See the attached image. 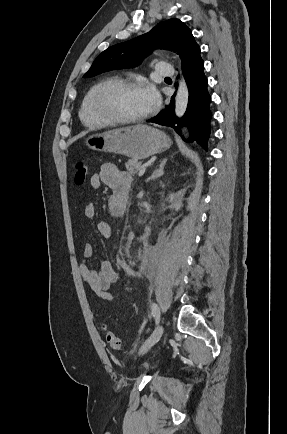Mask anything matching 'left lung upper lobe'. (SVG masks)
<instances>
[{
	"label": "left lung upper lobe",
	"instance_id": "1",
	"mask_svg": "<svg viewBox=\"0 0 287 434\" xmlns=\"http://www.w3.org/2000/svg\"><path fill=\"white\" fill-rule=\"evenodd\" d=\"M156 48L176 52L182 60V65L200 54V47L194 40L191 30L181 20L172 18L160 22L146 34L109 47L95 59L83 77L138 66Z\"/></svg>",
	"mask_w": 287,
	"mask_h": 434
}]
</instances>
